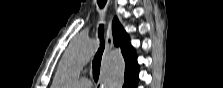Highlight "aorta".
I'll use <instances>...</instances> for the list:
<instances>
[{
    "instance_id": "obj_1",
    "label": "aorta",
    "mask_w": 223,
    "mask_h": 88,
    "mask_svg": "<svg viewBox=\"0 0 223 88\" xmlns=\"http://www.w3.org/2000/svg\"><path fill=\"white\" fill-rule=\"evenodd\" d=\"M95 46L91 39H74L59 63L55 84L57 88H73L83 67L94 54ZM125 61L118 50L107 57L102 74L103 88H122L124 84Z\"/></svg>"
}]
</instances>
